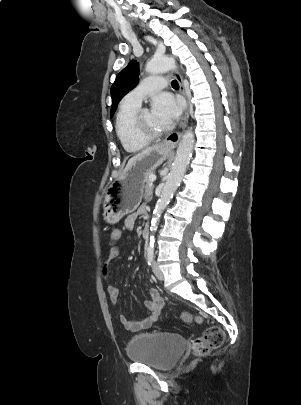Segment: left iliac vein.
Here are the masks:
<instances>
[{"label": "left iliac vein", "mask_w": 301, "mask_h": 405, "mask_svg": "<svg viewBox=\"0 0 301 405\" xmlns=\"http://www.w3.org/2000/svg\"><path fill=\"white\" fill-rule=\"evenodd\" d=\"M152 270H153L155 276H156L160 281H163V280H164V275H163L161 269L159 268L158 264H157L155 261L152 262Z\"/></svg>", "instance_id": "obj_1"}]
</instances>
